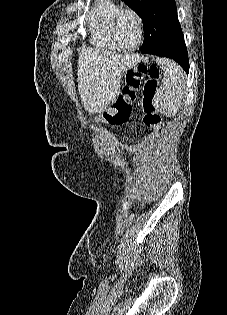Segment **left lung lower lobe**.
I'll use <instances>...</instances> for the list:
<instances>
[{"label": "left lung lower lobe", "mask_w": 227, "mask_h": 315, "mask_svg": "<svg viewBox=\"0 0 227 315\" xmlns=\"http://www.w3.org/2000/svg\"><path fill=\"white\" fill-rule=\"evenodd\" d=\"M140 50L142 53L171 58L179 63L187 73L189 71V61L184 40H181L174 45L161 48H154L149 44L143 43Z\"/></svg>", "instance_id": "left-lung-lower-lobe-1"}]
</instances>
